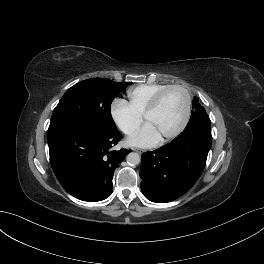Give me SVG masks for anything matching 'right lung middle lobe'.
<instances>
[{
  "mask_svg": "<svg viewBox=\"0 0 264 264\" xmlns=\"http://www.w3.org/2000/svg\"><path fill=\"white\" fill-rule=\"evenodd\" d=\"M130 84L93 78L69 88L53 111L48 139L69 130L116 128L110 106Z\"/></svg>",
  "mask_w": 264,
  "mask_h": 264,
  "instance_id": "1",
  "label": "right lung middle lobe"
}]
</instances>
